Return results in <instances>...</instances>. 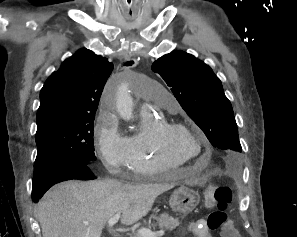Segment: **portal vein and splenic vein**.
Instances as JSON below:
<instances>
[{
    "mask_svg": "<svg viewBox=\"0 0 297 237\" xmlns=\"http://www.w3.org/2000/svg\"><path fill=\"white\" fill-rule=\"evenodd\" d=\"M120 215H121V213L119 212V213L115 214L112 218H110L108 220V226H113L114 224H116L118 222L119 218H120ZM83 224L88 226L89 222L84 221ZM138 234L141 237H159V236L164 235V230H159L157 232H152L149 229L141 228V229L138 230Z\"/></svg>",
    "mask_w": 297,
    "mask_h": 237,
    "instance_id": "1",
    "label": "portal vein and splenic vein"
}]
</instances>
